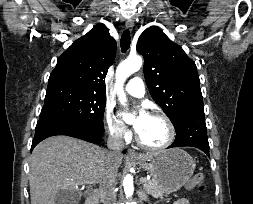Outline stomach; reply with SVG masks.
Listing matches in <instances>:
<instances>
[{"instance_id": "stomach-1", "label": "stomach", "mask_w": 253, "mask_h": 204, "mask_svg": "<svg viewBox=\"0 0 253 204\" xmlns=\"http://www.w3.org/2000/svg\"><path fill=\"white\" fill-rule=\"evenodd\" d=\"M133 161L146 170L152 180L168 193L175 192L184 186L195 170L192 157L178 148L140 154Z\"/></svg>"}]
</instances>
